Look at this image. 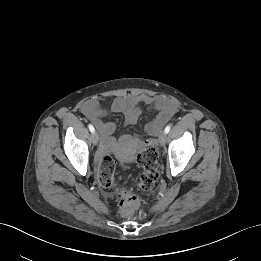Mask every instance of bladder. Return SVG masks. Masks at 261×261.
<instances>
[{
    "label": "bladder",
    "instance_id": "1",
    "mask_svg": "<svg viewBox=\"0 0 261 261\" xmlns=\"http://www.w3.org/2000/svg\"><path fill=\"white\" fill-rule=\"evenodd\" d=\"M135 151L134 150H131L129 152H126L124 151L123 149H120L117 151V156H118V159L121 161V162H128L132 156L134 155Z\"/></svg>",
    "mask_w": 261,
    "mask_h": 261
}]
</instances>
